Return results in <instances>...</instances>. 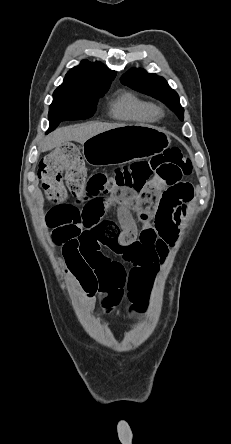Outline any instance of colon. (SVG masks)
I'll use <instances>...</instances> for the list:
<instances>
[{
	"label": "colon",
	"instance_id": "colon-1",
	"mask_svg": "<svg viewBox=\"0 0 231 444\" xmlns=\"http://www.w3.org/2000/svg\"><path fill=\"white\" fill-rule=\"evenodd\" d=\"M191 161L179 148H169L162 154L129 167L116 168L108 175L107 184L100 194H108L121 188L143 189L149 182H158L168 187H179L182 179L192 173ZM39 176L46 196L55 205L48 211L46 221L51 229L66 225L70 216L62 201L67 191L75 198L87 195V168L79 149L74 144H66L46 155L40 163ZM67 268H78L82 258L78 252L63 251ZM147 290L133 297L136 308H142Z\"/></svg>",
	"mask_w": 231,
	"mask_h": 444
}]
</instances>
